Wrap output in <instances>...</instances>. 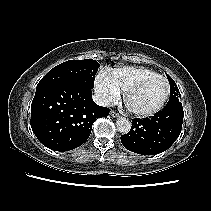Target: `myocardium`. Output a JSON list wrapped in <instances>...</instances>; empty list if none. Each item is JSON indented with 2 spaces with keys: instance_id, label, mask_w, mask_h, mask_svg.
<instances>
[{
  "instance_id": "1",
  "label": "myocardium",
  "mask_w": 211,
  "mask_h": 211,
  "mask_svg": "<svg viewBox=\"0 0 211 211\" xmlns=\"http://www.w3.org/2000/svg\"><path fill=\"white\" fill-rule=\"evenodd\" d=\"M154 79L164 80L165 83H166V86H167L166 93H165L163 99L161 100V102L158 105H156L155 107H153L149 110H137V109L133 108L129 103L130 97L134 93L139 91L142 87H144L147 83H149L150 81H152ZM170 91H171L170 83L165 76L160 75V74L154 75V76H149V77H146V78L140 80L135 85H133L132 87H130L128 90L125 91V93H124V104H125L126 108L128 109V111L130 113L134 114L135 116L149 117V116H152V115L158 113L165 106L167 100L169 99Z\"/></svg>"
}]
</instances>
